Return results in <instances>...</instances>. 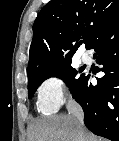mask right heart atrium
Wrapping results in <instances>:
<instances>
[{
    "label": "right heart atrium",
    "mask_w": 119,
    "mask_h": 141,
    "mask_svg": "<svg viewBox=\"0 0 119 141\" xmlns=\"http://www.w3.org/2000/svg\"><path fill=\"white\" fill-rule=\"evenodd\" d=\"M38 103L44 112H54L66 100L68 87L65 80L52 75L42 81L37 89Z\"/></svg>",
    "instance_id": "obj_1"
}]
</instances>
